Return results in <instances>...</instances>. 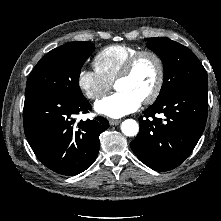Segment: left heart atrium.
<instances>
[{
  "mask_svg": "<svg viewBox=\"0 0 221 221\" xmlns=\"http://www.w3.org/2000/svg\"><path fill=\"white\" fill-rule=\"evenodd\" d=\"M142 100L128 91H118L103 98L95 104L98 114L110 118H120L135 112L141 106Z\"/></svg>",
  "mask_w": 221,
  "mask_h": 221,
  "instance_id": "39dd6f15",
  "label": "left heart atrium"
}]
</instances>
